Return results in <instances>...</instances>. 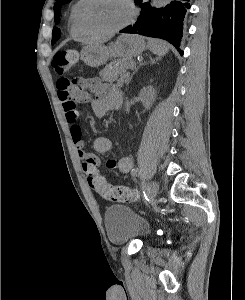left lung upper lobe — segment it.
Wrapping results in <instances>:
<instances>
[{
  "label": "left lung upper lobe",
  "instance_id": "1",
  "mask_svg": "<svg viewBox=\"0 0 245 300\" xmlns=\"http://www.w3.org/2000/svg\"><path fill=\"white\" fill-rule=\"evenodd\" d=\"M70 0H56L54 4V14H55V22L58 23L60 15H61V6L68 3ZM60 37V29H53L52 43Z\"/></svg>",
  "mask_w": 245,
  "mask_h": 300
}]
</instances>
